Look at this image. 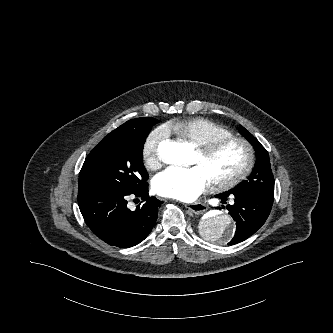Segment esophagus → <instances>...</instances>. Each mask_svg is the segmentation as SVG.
I'll list each match as a JSON object with an SVG mask.
<instances>
[{
	"label": "esophagus",
	"mask_w": 333,
	"mask_h": 333,
	"mask_svg": "<svg viewBox=\"0 0 333 333\" xmlns=\"http://www.w3.org/2000/svg\"><path fill=\"white\" fill-rule=\"evenodd\" d=\"M184 206L191 211L194 214H203L206 210L207 207L206 205L200 203V202H196V203H190V204H184Z\"/></svg>",
	"instance_id": "34e87169"
}]
</instances>
